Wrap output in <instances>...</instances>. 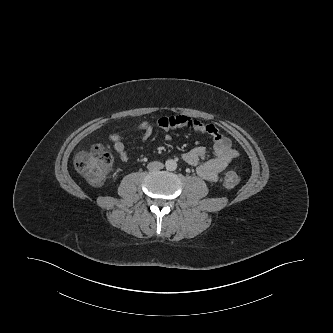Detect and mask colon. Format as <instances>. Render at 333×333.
<instances>
[{"mask_svg": "<svg viewBox=\"0 0 333 333\" xmlns=\"http://www.w3.org/2000/svg\"><path fill=\"white\" fill-rule=\"evenodd\" d=\"M113 158L111 153L103 146L95 145L89 151L80 152L75 157L76 170L92 185L99 186L106 179ZM239 175L236 171H228L223 178L225 187L232 188L239 183Z\"/></svg>", "mask_w": 333, "mask_h": 333, "instance_id": "obj_1", "label": "colon"}]
</instances>
